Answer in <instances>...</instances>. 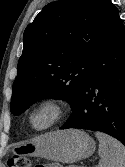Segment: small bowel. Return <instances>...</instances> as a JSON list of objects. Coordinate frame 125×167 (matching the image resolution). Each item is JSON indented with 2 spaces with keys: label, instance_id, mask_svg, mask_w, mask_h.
<instances>
[{
  "label": "small bowel",
  "instance_id": "obj_1",
  "mask_svg": "<svg viewBox=\"0 0 125 167\" xmlns=\"http://www.w3.org/2000/svg\"><path fill=\"white\" fill-rule=\"evenodd\" d=\"M37 167H58L54 164H46V165H37Z\"/></svg>",
  "mask_w": 125,
  "mask_h": 167
}]
</instances>
